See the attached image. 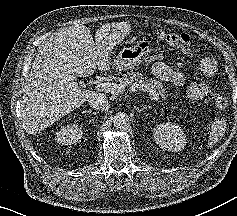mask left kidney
I'll return each instance as SVG.
<instances>
[{
  "instance_id": "5707ae66",
  "label": "left kidney",
  "mask_w": 237,
  "mask_h": 216,
  "mask_svg": "<svg viewBox=\"0 0 237 216\" xmlns=\"http://www.w3.org/2000/svg\"><path fill=\"white\" fill-rule=\"evenodd\" d=\"M155 143L163 150L179 152L186 143V134L178 124L172 122L161 123L153 129Z\"/></svg>"
}]
</instances>
